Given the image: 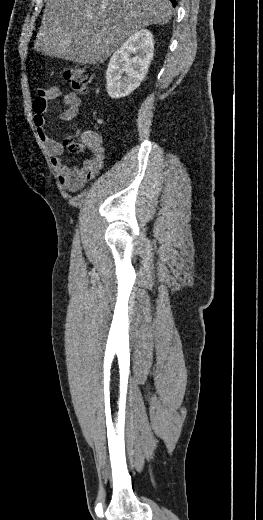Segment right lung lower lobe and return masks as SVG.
I'll return each instance as SVG.
<instances>
[{
	"label": "right lung lower lobe",
	"mask_w": 263,
	"mask_h": 520,
	"mask_svg": "<svg viewBox=\"0 0 263 520\" xmlns=\"http://www.w3.org/2000/svg\"><path fill=\"white\" fill-rule=\"evenodd\" d=\"M170 1L172 2L173 6L176 5V0H170Z\"/></svg>",
	"instance_id": "obj_1"
}]
</instances>
